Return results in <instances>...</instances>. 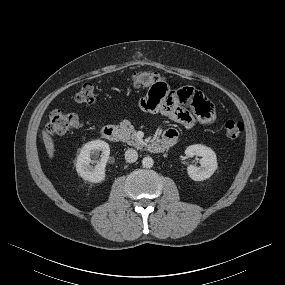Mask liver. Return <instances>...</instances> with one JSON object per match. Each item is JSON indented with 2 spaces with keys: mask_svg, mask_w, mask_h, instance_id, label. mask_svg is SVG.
<instances>
[{
  "mask_svg": "<svg viewBox=\"0 0 285 285\" xmlns=\"http://www.w3.org/2000/svg\"><path fill=\"white\" fill-rule=\"evenodd\" d=\"M42 137H43V141H44L48 156L50 158H53L54 157V151H55L53 139L51 138V136L49 135V133L46 130L42 131Z\"/></svg>",
  "mask_w": 285,
  "mask_h": 285,
  "instance_id": "6515ba94",
  "label": "liver"
}]
</instances>
